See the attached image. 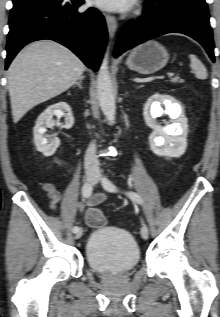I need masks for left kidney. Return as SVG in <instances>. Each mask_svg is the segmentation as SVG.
<instances>
[{"label":"left kidney","instance_id":"5707ae66","mask_svg":"<svg viewBox=\"0 0 220 317\" xmlns=\"http://www.w3.org/2000/svg\"><path fill=\"white\" fill-rule=\"evenodd\" d=\"M161 104L165 105L163 111ZM163 112L172 119L171 124L161 126L156 118ZM144 120L153 129L149 136V144L153 153L159 156L180 157L187 147V118L182 113L179 103L169 95L155 93L144 105Z\"/></svg>","mask_w":220,"mask_h":317}]
</instances>
